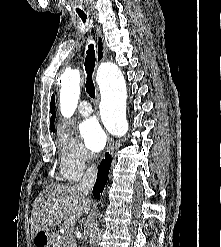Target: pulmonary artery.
Segmentation results:
<instances>
[{"label":"pulmonary artery","mask_w":221,"mask_h":247,"mask_svg":"<svg viewBox=\"0 0 221 247\" xmlns=\"http://www.w3.org/2000/svg\"><path fill=\"white\" fill-rule=\"evenodd\" d=\"M79 112L82 116H89L92 114L93 110L90 103L86 100L82 101L79 105Z\"/></svg>","instance_id":"1"}]
</instances>
